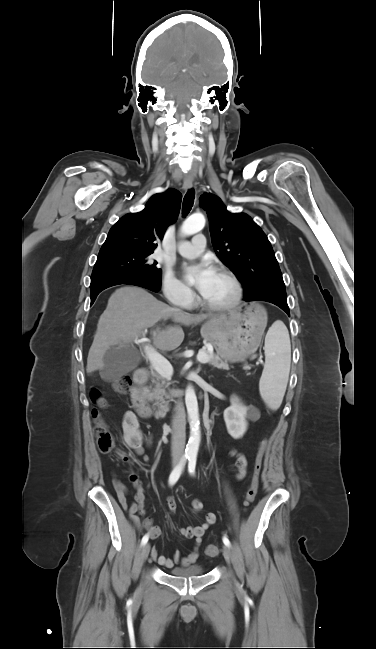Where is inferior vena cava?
<instances>
[{
  "instance_id": "1",
  "label": "inferior vena cava",
  "mask_w": 376,
  "mask_h": 649,
  "mask_svg": "<svg viewBox=\"0 0 376 649\" xmlns=\"http://www.w3.org/2000/svg\"><path fill=\"white\" fill-rule=\"evenodd\" d=\"M178 416L173 425V436L171 442V453L181 457L184 453L185 446V420L182 417L183 406L181 403L177 405Z\"/></svg>"
}]
</instances>
